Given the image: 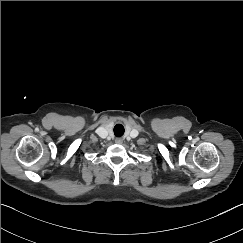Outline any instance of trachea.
I'll return each instance as SVG.
<instances>
[{
    "mask_svg": "<svg viewBox=\"0 0 243 243\" xmlns=\"http://www.w3.org/2000/svg\"><path fill=\"white\" fill-rule=\"evenodd\" d=\"M120 129L121 130V132L119 131L118 133H116V129ZM114 132H115V135L117 136V137H120L122 134H123V132H124V127L121 125V124H117L116 126H115V128H114Z\"/></svg>",
    "mask_w": 243,
    "mask_h": 243,
    "instance_id": "obj_1",
    "label": "trachea"
}]
</instances>
